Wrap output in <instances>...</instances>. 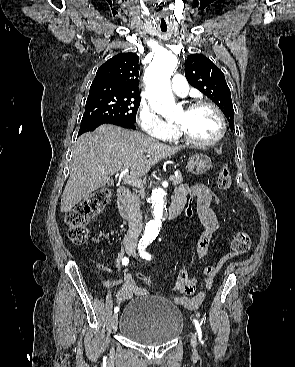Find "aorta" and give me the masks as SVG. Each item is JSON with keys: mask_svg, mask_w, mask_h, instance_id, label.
I'll return each mask as SVG.
<instances>
[{"mask_svg": "<svg viewBox=\"0 0 295 367\" xmlns=\"http://www.w3.org/2000/svg\"><path fill=\"white\" fill-rule=\"evenodd\" d=\"M177 57L171 52L164 51L158 54L146 70V84L148 100L152 109L163 117L175 116L180 107L175 103L170 78L177 66ZM153 219L145 227L143 241H153L160 232L164 216V194L162 189L155 188L151 194Z\"/></svg>", "mask_w": 295, "mask_h": 367, "instance_id": "obj_1", "label": "aorta"}]
</instances>
